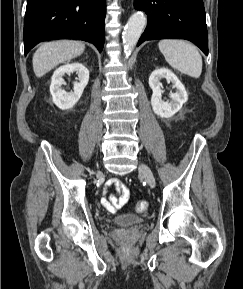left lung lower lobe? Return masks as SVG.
I'll return each instance as SVG.
<instances>
[{
	"label": "left lung lower lobe",
	"mask_w": 243,
	"mask_h": 289,
	"mask_svg": "<svg viewBox=\"0 0 243 289\" xmlns=\"http://www.w3.org/2000/svg\"><path fill=\"white\" fill-rule=\"evenodd\" d=\"M134 6L146 12L145 40L179 38L195 43L208 55V33L203 0H135Z\"/></svg>",
	"instance_id": "1"
}]
</instances>
